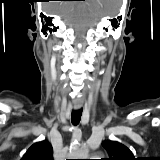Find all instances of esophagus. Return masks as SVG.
Here are the masks:
<instances>
[{
	"mask_svg": "<svg viewBox=\"0 0 160 160\" xmlns=\"http://www.w3.org/2000/svg\"><path fill=\"white\" fill-rule=\"evenodd\" d=\"M81 108V105H75L74 106V109H76V110H78V109H80Z\"/></svg>",
	"mask_w": 160,
	"mask_h": 160,
	"instance_id": "obj_1",
	"label": "esophagus"
}]
</instances>
